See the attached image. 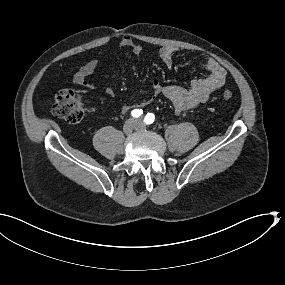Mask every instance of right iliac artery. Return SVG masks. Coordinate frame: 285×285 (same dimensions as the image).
<instances>
[{"mask_svg": "<svg viewBox=\"0 0 285 285\" xmlns=\"http://www.w3.org/2000/svg\"><path fill=\"white\" fill-rule=\"evenodd\" d=\"M132 116L135 118H138L139 116H141L143 114V110L142 109H135L131 112Z\"/></svg>", "mask_w": 285, "mask_h": 285, "instance_id": "obj_1", "label": "right iliac artery"}]
</instances>
